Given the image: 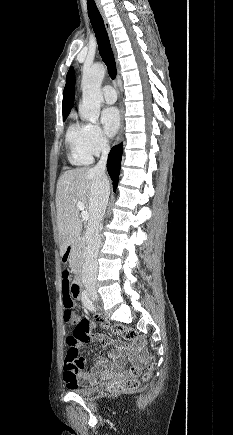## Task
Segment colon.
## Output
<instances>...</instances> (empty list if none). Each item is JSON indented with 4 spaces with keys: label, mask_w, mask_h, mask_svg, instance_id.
<instances>
[{
    "label": "colon",
    "mask_w": 233,
    "mask_h": 435,
    "mask_svg": "<svg viewBox=\"0 0 233 435\" xmlns=\"http://www.w3.org/2000/svg\"><path fill=\"white\" fill-rule=\"evenodd\" d=\"M62 281L67 284L70 281V274L67 270H64L61 275ZM63 304L65 305L64 312V321L68 327H75L78 323L79 316L77 311L75 310V297L74 295L70 296L69 294H65L63 297ZM113 334L122 337L126 341H133L137 338V332L129 327L123 325H114L112 327ZM67 354L66 359L69 362H73L76 364H81L83 359L79 355L78 351V342L72 338L67 339ZM152 370V366L149 365L146 374L144 375L145 379L150 377ZM138 386V382L135 379H128L122 383L115 382L109 384L105 392L109 395H116L121 393L129 392L130 390L135 389Z\"/></svg>",
    "instance_id": "colon-1"
}]
</instances>
